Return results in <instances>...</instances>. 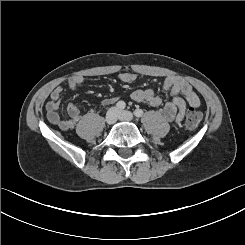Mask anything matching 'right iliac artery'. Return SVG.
Segmentation results:
<instances>
[{
	"label": "right iliac artery",
	"instance_id": "82829eb1",
	"mask_svg": "<svg viewBox=\"0 0 245 245\" xmlns=\"http://www.w3.org/2000/svg\"><path fill=\"white\" fill-rule=\"evenodd\" d=\"M125 107H126V104H125L124 101H119V102H117V104H116V108H117L118 110H123Z\"/></svg>",
	"mask_w": 245,
	"mask_h": 245
}]
</instances>
